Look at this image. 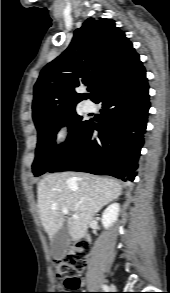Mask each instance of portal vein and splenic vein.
Masks as SVG:
<instances>
[{"label": "portal vein and splenic vein", "mask_w": 170, "mask_h": 293, "mask_svg": "<svg viewBox=\"0 0 170 293\" xmlns=\"http://www.w3.org/2000/svg\"><path fill=\"white\" fill-rule=\"evenodd\" d=\"M62 213L65 214V215H67V214H69V211H68L67 208H62ZM73 218H78V216L77 215H73Z\"/></svg>", "instance_id": "obj_1"}]
</instances>
